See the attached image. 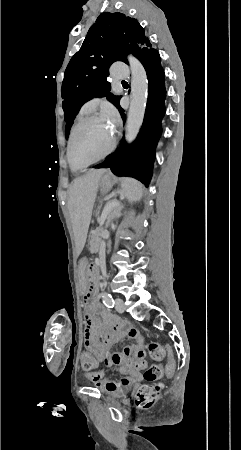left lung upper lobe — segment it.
Returning a JSON list of instances; mask_svg holds the SVG:
<instances>
[{
	"instance_id": "obj_1",
	"label": "left lung upper lobe",
	"mask_w": 241,
	"mask_h": 450,
	"mask_svg": "<svg viewBox=\"0 0 241 450\" xmlns=\"http://www.w3.org/2000/svg\"><path fill=\"white\" fill-rule=\"evenodd\" d=\"M151 48L144 28L136 19L122 13L104 12L93 24L80 48L71 58L61 88L64 119L67 122L66 136L81 106L93 97H104L118 109L121 96L110 92L107 81L112 63L123 61L128 64L127 53L136 58Z\"/></svg>"
}]
</instances>
